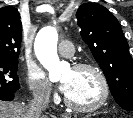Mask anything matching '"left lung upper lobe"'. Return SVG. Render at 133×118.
<instances>
[{
  "instance_id": "left-lung-upper-lobe-1",
  "label": "left lung upper lobe",
  "mask_w": 133,
  "mask_h": 118,
  "mask_svg": "<svg viewBox=\"0 0 133 118\" xmlns=\"http://www.w3.org/2000/svg\"><path fill=\"white\" fill-rule=\"evenodd\" d=\"M77 25L107 79L112 96L133 111V60L118 20L102 5L84 3L77 12Z\"/></svg>"
}]
</instances>
